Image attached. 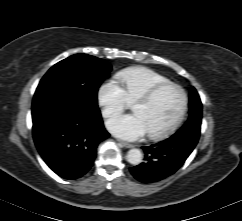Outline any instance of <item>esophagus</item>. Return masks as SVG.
Here are the masks:
<instances>
[{
  "mask_svg": "<svg viewBox=\"0 0 242 221\" xmlns=\"http://www.w3.org/2000/svg\"><path fill=\"white\" fill-rule=\"evenodd\" d=\"M119 143H120L123 147H126V148H132V147H134L133 144L128 143V142H125V141H119Z\"/></svg>",
  "mask_w": 242,
  "mask_h": 221,
  "instance_id": "34e87169",
  "label": "esophagus"
}]
</instances>
